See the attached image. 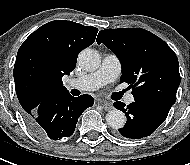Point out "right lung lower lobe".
I'll list each match as a JSON object with an SVG mask.
<instances>
[{
	"label": "right lung lower lobe",
	"instance_id": "98d812e1",
	"mask_svg": "<svg viewBox=\"0 0 190 165\" xmlns=\"http://www.w3.org/2000/svg\"><path fill=\"white\" fill-rule=\"evenodd\" d=\"M93 103V97L87 94L73 97L67 90L55 91L33 111L23 112L22 115L29 129L37 136L60 140L74 133L78 118Z\"/></svg>",
	"mask_w": 190,
	"mask_h": 165
}]
</instances>
